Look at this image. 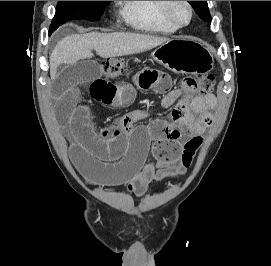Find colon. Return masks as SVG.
Segmentation results:
<instances>
[{
  "label": "colon",
  "mask_w": 271,
  "mask_h": 266,
  "mask_svg": "<svg viewBox=\"0 0 271 266\" xmlns=\"http://www.w3.org/2000/svg\"><path fill=\"white\" fill-rule=\"evenodd\" d=\"M126 64L120 59H110L101 63L102 73L107 78L119 76L125 71ZM215 85L213 74L205 73L200 76L186 77L182 82V89L186 95L208 96ZM203 142L201 135H194L183 145L181 162L184 167H189Z\"/></svg>",
  "instance_id": "1"
}]
</instances>
